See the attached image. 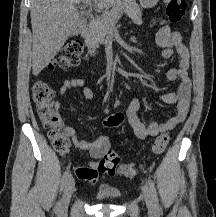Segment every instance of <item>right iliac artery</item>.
I'll return each instance as SVG.
<instances>
[{"mask_svg": "<svg viewBox=\"0 0 216 217\" xmlns=\"http://www.w3.org/2000/svg\"><path fill=\"white\" fill-rule=\"evenodd\" d=\"M70 177H71L70 171L67 169L63 173V176H62V179H61L60 192L63 191V189L66 186V184H67V182H68V180H69ZM59 208H60V202L57 203V206H56L57 211H59Z\"/></svg>", "mask_w": 216, "mask_h": 217, "instance_id": "1", "label": "right iliac artery"}]
</instances>
